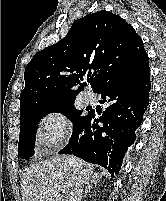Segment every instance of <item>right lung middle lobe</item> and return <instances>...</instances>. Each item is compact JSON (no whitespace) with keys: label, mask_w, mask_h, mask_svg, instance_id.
<instances>
[{"label":"right lung middle lobe","mask_w":166,"mask_h":201,"mask_svg":"<svg viewBox=\"0 0 166 201\" xmlns=\"http://www.w3.org/2000/svg\"><path fill=\"white\" fill-rule=\"evenodd\" d=\"M60 112L65 114L73 122V133L83 124L88 118V115L83 116L82 110H77L74 102L65 103L59 106L37 109L20 115V135L18 143V155L21 158L29 159L34 155V145L36 138L37 125L39 121L48 113Z\"/></svg>","instance_id":"obj_1"}]
</instances>
